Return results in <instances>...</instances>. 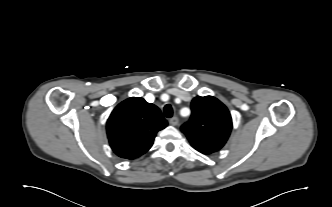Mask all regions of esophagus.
Returning <instances> with one entry per match:
<instances>
[{
	"mask_svg": "<svg viewBox=\"0 0 332 207\" xmlns=\"http://www.w3.org/2000/svg\"><path fill=\"white\" fill-rule=\"evenodd\" d=\"M178 122H179V120H178L177 117H172V118H170V120H169V123H170L172 126H176V125H178Z\"/></svg>",
	"mask_w": 332,
	"mask_h": 207,
	"instance_id": "esophagus-1",
	"label": "esophagus"
}]
</instances>
